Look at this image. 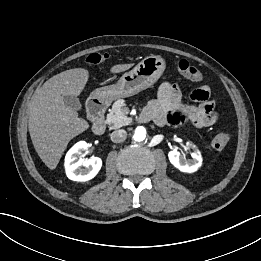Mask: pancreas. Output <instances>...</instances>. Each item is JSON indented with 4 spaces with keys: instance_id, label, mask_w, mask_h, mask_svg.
Returning a JSON list of instances; mask_svg holds the SVG:
<instances>
[{
    "instance_id": "obj_1",
    "label": "pancreas",
    "mask_w": 261,
    "mask_h": 261,
    "mask_svg": "<svg viewBox=\"0 0 261 261\" xmlns=\"http://www.w3.org/2000/svg\"><path fill=\"white\" fill-rule=\"evenodd\" d=\"M126 112H128L127 107H125V103L123 100H117L107 115L106 122L111 129H117L128 125L131 122V119L126 116Z\"/></svg>"
}]
</instances>
